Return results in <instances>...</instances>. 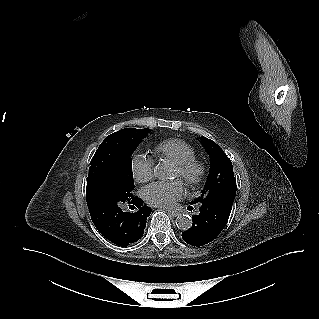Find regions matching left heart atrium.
Instances as JSON below:
<instances>
[{
    "mask_svg": "<svg viewBox=\"0 0 319 319\" xmlns=\"http://www.w3.org/2000/svg\"><path fill=\"white\" fill-rule=\"evenodd\" d=\"M144 199L153 206L169 208L179 200L184 193L181 181L154 182L142 190Z\"/></svg>",
    "mask_w": 319,
    "mask_h": 319,
    "instance_id": "left-heart-atrium-1",
    "label": "left heart atrium"
}]
</instances>
